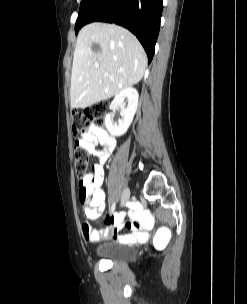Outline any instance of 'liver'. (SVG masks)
Here are the masks:
<instances>
[{
	"label": "liver",
	"instance_id": "liver-1",
	"mask_svg": "<svg viewBox=\"0 0 247 304\" xmlns=\"http://www.w3.org/2000/svg\"><path fill=\"white\" fill-rule=\"evenodd\" d=\"M98 44L100 52L92 49ZM147 67L146 53L127 29L90 23L78 36L73 57L71 108H85L137 84ZM105 74H108L107 76Z\"/></svg>",
	"mask_w": 247,
	"mask_h": 304
}]
</instances>
